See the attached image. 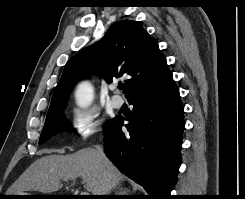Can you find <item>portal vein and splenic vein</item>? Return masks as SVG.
Masks as SVG:
<instances>
[{
  "label": "portal vein and splenic vein",
  "instance_id": "obj_1",
  "mask_svg": "<svg viewBox=\"0 0 245 199\" xmlns=\"http://www.w3.org/2000/svg\"><path fill=\"white\" fill-rule=\"evenodd\" d=\"M82 195H89L88 193H86V192H84V193H82Z\"/></svg>",
  "mask_w": 245,
  "mask_h": 199
}]
</instances>
